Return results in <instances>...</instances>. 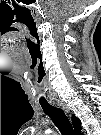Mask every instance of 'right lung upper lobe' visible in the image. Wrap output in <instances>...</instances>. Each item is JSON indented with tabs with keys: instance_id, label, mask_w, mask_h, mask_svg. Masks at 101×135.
Returning a JSON list of instances; mask_svg holds the SVG:
<instances>
[{
	"instance_id": "1",
	"label": "right lung upper lobe",
	"mask_w": 101,
	"mask_h": 135,
	"mask_svg": "<svg viewBox=\"0 0 101 135\" xmlns=\"http://www.w3.org/2000/svg\"><path fill=\"white\" fill-rule=\"evenodd\" d=\"M72 122H73V127L76 131L77 134H81V122L77 117H73L72 118Z\"/></svg>"
}]
</instances>
